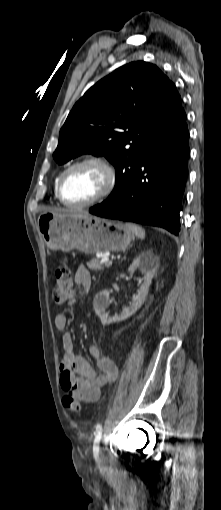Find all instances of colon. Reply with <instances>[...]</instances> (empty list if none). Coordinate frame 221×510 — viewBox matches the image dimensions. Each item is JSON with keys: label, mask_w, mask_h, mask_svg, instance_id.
Returning <instances> with one entry per match:
<instances>
[{"label": "colon", "mask_w": 221, "mask_h": 510, "mask_svg": "<svg viewBox=\"0 0 221 510\" xmlns=\"http://www.w3.org/2000/svg\"><path fill=\"white\" fill-rule=\"evenodd\" d=\"M74 295L73 279L70 267L66 263H62L55 269V288L53 299L56 304H63ZM63 405L74 415L81 414L80 402L71 395L63 397Z\"/></svg>", "instance_id": "colon-1"}]
</instances>
